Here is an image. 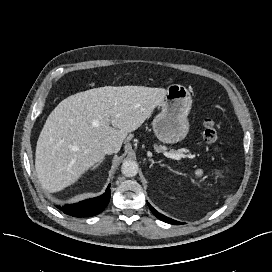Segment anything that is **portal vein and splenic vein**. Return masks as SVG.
Listing matches in <instances>:
<instances>
[{"instance_id":"obj_1","label":"portal vein and splenic vein","mask_w":272,"mask_h":272,"mask_svg":"<svg viewBox=\"0 0 272 272\" xmlns=\"http://www.w3.org/2000/svg\"><path fill=\"white\" fill-rule=\"evenodd\" d=\"M166 157L180 160L181 158L188 157V155L182 154V153H170V152H164L163 153Z\"/></svg>"}]
</instances>
